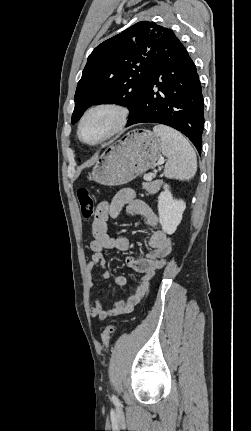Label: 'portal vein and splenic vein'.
I'll return each mask as SVG.
<instances>
[{"instance_id":"portal-vein-and-splenic-vein-1","label":"portal vein and splenic vein","mask_w":251,"mask_h":431,"mask_svg":"<svg viewBox=\"0 0 251 431\" xmlns=\"http://www.w3.org/2000/svg\"><path fill=\"white\" fill-rule=\"evenodd\" d=\"M162 161L164 162V158L162 159ZM144 180L151 181L152 180V175H149V174L144 175Z\"/></svg>"}]
</instances>
